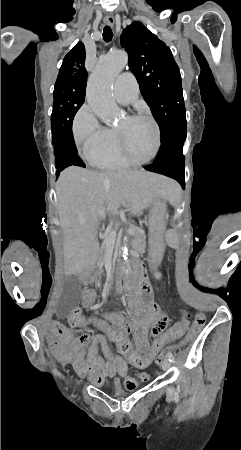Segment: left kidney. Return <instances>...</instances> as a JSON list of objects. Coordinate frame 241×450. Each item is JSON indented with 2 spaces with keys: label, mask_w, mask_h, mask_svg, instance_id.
I'll use <instances>...</instances> for the list:
<instances>
[{
  "label": "left kidney",
  "mask_w": 241,
  "mask_h": 450,
  "mask_svg": "<svg viewBox=\"0 0 241 450\" xmlns=\"http://www.w3.org/2000/svg\"><path fill=\"white\" fill-rule=\"evenodd\" d=\"M155 278H157V280H159V278H161V274H158V272H157V274H155Z\"/></svg>",
  "instance_id": "5707ae66"
}]
</instances>
